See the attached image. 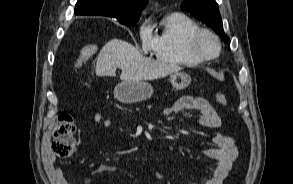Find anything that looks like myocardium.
<instances>
[{"instance_id":"obj_1","label":"myocardium","mask_w":293,"mask_h":184,"mask_svg":"<svg viewBox=\"0 0 293 184\" xmlns=\"http://www.w3.org/2000/svg\"><path fill=\"white\" fill-rule=\"evenodd\" d=\"M205 35L211 37L216 42L217 51L215 54L209 55L201 51L199 47V41L201 37ZM187 47L190 54L202 62L217 58L222 50L220 38L214 32L206 28H199L196 31H194L188 38Z\"/></svg>"}]
</instances>
